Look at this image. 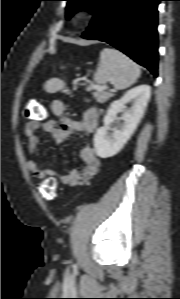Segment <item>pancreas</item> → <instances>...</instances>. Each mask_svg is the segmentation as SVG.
Returning a JSON list of instances; mask_svg holds the SVG:
<instances>
[{
    "label": "pancreas",
    "instance_id": "obj_1",
    "mask_svg": "<svg viewBox=\"0 0 180 299\" xmlns=\"http://www.w3.org/2000/svg\"><path fill=\"white\" fill-rule=\"evenodd\" d=\"M94 96L98 102L103 103V102L107 101L110 97H112L113 94L110 92L101 91V92H95Z\"/></svg>",
    "mask_w": 180,
    "mask_h": 299
}]
</instances>
